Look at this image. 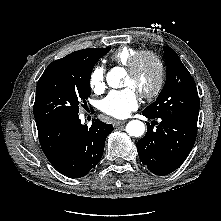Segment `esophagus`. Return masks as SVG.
<instances>
[{"mask_svg": "<svg viewBox=\"0 0 221 221\" xmlns=\"http://www.w3.org/2000/svg\"><path fill=\"white\" fill-rule=\"evenodd\" d=\"M125 123H126V121L115 120V121L113 122V126H114V127H118V126L123 125V124H125Z\"/></svg>", "mask_w": 221, "mask_h": 221, "instance_id": "34e87169", "label": "esophagus"}]
</instances>
